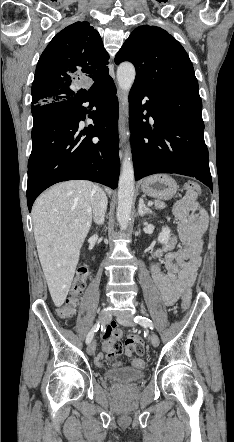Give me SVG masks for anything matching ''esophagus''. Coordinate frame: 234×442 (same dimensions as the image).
<instances>
[{
  "label": "esophagus",
  "mask_w": 234,
  "mask_h": 442,
  "mask_svg": "<svg viewBox=\"0 0 234 442\" xmlns=\"http://www.w3.org/2000/svg\"><path fill=\"white\" fill-rule=\"evenodd\" d=\"M118 99L120 101V108H119V120H118V129H119V137H120V143L121 146H124L125 142V132H124V106L122 105V93L121 90L118 89ZM120 156H123V153L121 152Z\"/></svg>",
  "instance_id": "1"
}]
</instances>
